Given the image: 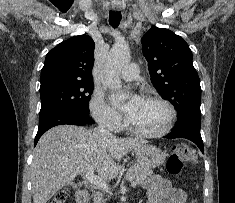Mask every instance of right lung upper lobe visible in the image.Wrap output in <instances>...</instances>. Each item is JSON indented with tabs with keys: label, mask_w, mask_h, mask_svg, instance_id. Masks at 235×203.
I'll list each match as a JSON object with an SVG mask.
<instances>
[{
	"label": "right lung upper lobe",
	"mask_w": 235,
	"mask_h": 203,
	"mask_svg": "<svg viewBox=\"0 0 235 203\" xmlns=\"http://www.w3.org/2000/svg\"><path fill=\"white\" fill-rule=\"evenodd\" d=\"M95 43L90 36H74L50 50L41 70V86L57 81H93Z\"/></svg>",
	"instance_id": "cb5924a9"
}]
</instances>
